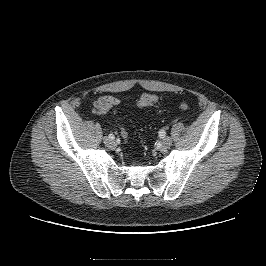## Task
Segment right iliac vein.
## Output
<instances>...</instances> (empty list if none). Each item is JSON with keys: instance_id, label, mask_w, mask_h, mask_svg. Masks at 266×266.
Wrapping results in <instances>:
<instances>
[{"instance_id": "obj_1", "label": "right iliac vein", "mask_w": 266, "mask_h": 266, "mask_svg": "<svg viewBox=\"0 0 266 266\" xmlns=\"http://www.w3.org/2000/svg\"><path fill=\"white\" fill-rule=\"evenodd\" d=\"M104 143H105V145H106L107 147H109V148H113V147H115V142H114V140H112V139L105 138V139H104Z\"/></svg>"}]
</instances>
